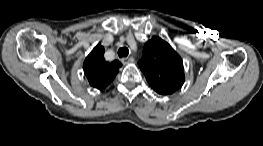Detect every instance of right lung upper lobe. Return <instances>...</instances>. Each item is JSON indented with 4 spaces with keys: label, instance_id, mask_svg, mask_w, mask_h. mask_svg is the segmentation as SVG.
<instances>
[{
    "label": "right lung upper lobe",
    "instance_id": "1",
    "mask_svg": "<svg viewBox=\"0 0 263 146\" xmlns=\"http://www.w3.org/2000/svg\"><path fill=\"white\" fill-rule=\"evenodd\" d=\"M104 52V47L98 43L86 57L83 64V70L90 85L97 89L108 86L122 66L117 60L107 62L104 59Z\"/></svg>",
    "mask_w": 263,
    "mask_h": 146
}]
</instances>
